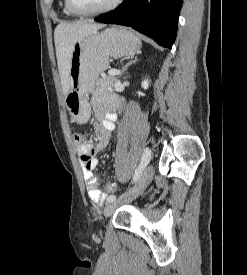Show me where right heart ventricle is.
Masks as SVG:
<instances>
[{
	"instance_id": "right-heart-ventricle-1",
	"label": "right heart ventricle",
	"mask_w": 247,
	"mask_h": 275,
	"mask_svg": "<svg viewBox=\"0 0 247 275\" xmlns=\"http://www.w3.org/2000/svg\"><path fill=\"white\" fill-rule=\"evenodd\" d=\"M63 6H64V13L67 15V16H75L76 14H74L72 11L69 10V8L67 7L66 5V2L64 0V3H63Z\"/></svg>"
}]
</instances>
